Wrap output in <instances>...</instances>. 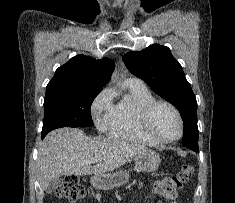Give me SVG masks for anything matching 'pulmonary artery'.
<instances>
[{"label":"pulmonary artery","instance_id":"e3ab8cb5","mask_svg":"<svg viewBox=\"0 0 235 203\" xmlns=\"http://www.w3.org/2000/svg\"><path fill=\"white\" fill-rule=\"evenodd\" d=\"M126 81L132 82V83H137V84H143L141 80H139L138 78H128Z\"/></svg>","mask_w":235,"mask_h":203}]
</instances>
